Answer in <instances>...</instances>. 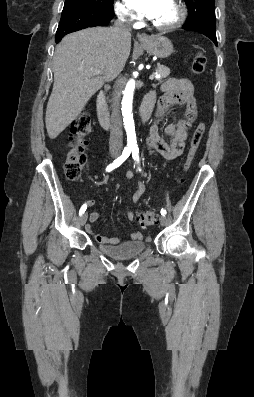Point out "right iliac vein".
Returning a JSON list of instances; mask_svg holds the SVG:
<instances>
[{"label": "right iliac vein", "mask_w": 254, "mask_h": 397, "mask_svg": "<svg viewBox=\"0 0 254 397\" xmlns=\"http://www.w3.org/2000/svg\"><path fill=\"white\" fill-rule=\"evenodd\" d=\"M116 156H117L116 153H113V154H112V157H116ZM87 217H88L87 213H83V214L81 215V217H80V225H81V226H83V225L86 223Z\"/></svg>", "instance_id": "right-iliac-vein-1"}]
</instances>
